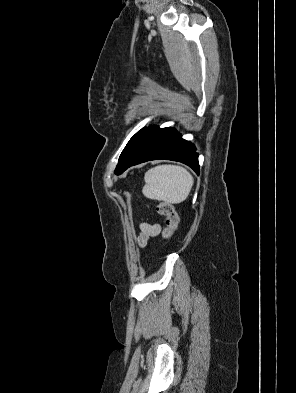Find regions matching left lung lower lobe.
I'll return each mask as SVG.
<instances>
[{
	"label": "left lung lower lobe",
	"instance_id": "0a47b994",
	"mask_svg": "<svg viewBox=\"0 0 296 393\" xmlns=\"http://www.w3.org/2000/svg\"><path fill=\"white\" fill-rule=\"evenodd\" d=\"M157 159L179 161L199 173L198 154L193 144L182 139L174 128L151 126L140 136L119 174L133 165Z\"/></svg>",
	"mask_w": 296,
	"mask_h": 393
}]
</instances>
